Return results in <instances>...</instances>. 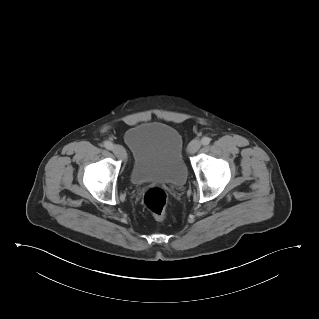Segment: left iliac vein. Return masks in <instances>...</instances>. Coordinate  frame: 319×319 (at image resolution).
<instances>
[{
  "label": "left iliac vein",
  "instance_id": "obj_1",
  "mask_svg": "<svg viewBox=\"0 0 319 319\" xmlns=\"http://www.w3.org/2000/svg\"><path fill=\"white\" fill-rule=\"evenodd\" d=\"M201 147V142L198 139L192 140L188 145V153L194 154Z\"/></svg>",
  "mask_w": 319,
  "mask_h": 319
}]
</instances>
